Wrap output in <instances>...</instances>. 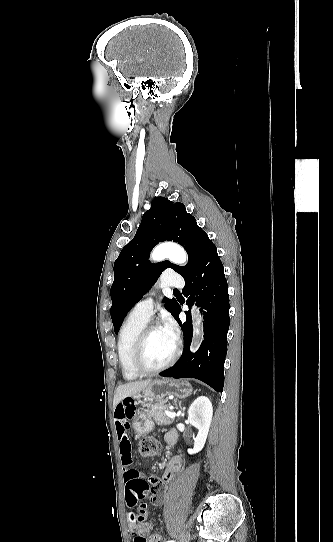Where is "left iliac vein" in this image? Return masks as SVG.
Wrapping results in <instances>:
<instances>
[{
	"label": "left iliac vein",
	"mask_w": 333,
	"mask_h": 542,
	"mask_svg": "<svg viewBox=\"0 0 333 542\" xmlns=\"http://www.w3.org/2000/svg\"><path fill=\"white\" fill-rule=\"evenodd\" d=\"M181 542H189V534L187 533Z\"/></svg>",
	"instance_id": "obj_1"
}]
</instances>
